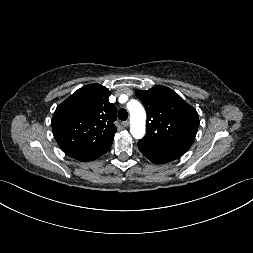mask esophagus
Returning <instances> with one entry per match:
<instances>
[{
  "instance_id": "esophagus-1",
  "label": "esophagus",
  "mask_w": 253,
  "mask_h": 253,
  "mask_svg": "<svg viewBox=\"0 0 253 253\" xmlns=\"http://www.w3.org/2000/svg\"><path fill=\"white\" fill-rule=\"evenodd\" d=\"M123 127H128L130 125L129 121L122 122Z\"/></svg>"
}]
</instances>
